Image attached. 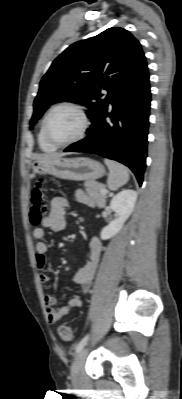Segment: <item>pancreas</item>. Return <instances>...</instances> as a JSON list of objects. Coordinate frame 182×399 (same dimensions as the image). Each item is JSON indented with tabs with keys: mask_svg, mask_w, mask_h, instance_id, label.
Here are the masks:
<instances>
[{
	"mask_svg": "<svg viewBox=\"0 0 182 399\" xmlns=\"http://www.w3.org/2000/svg\"><path fill=\"white\" fill-rule=\"evenodd\" d=\"M87 193L98 201V205L102 207L106 198L104 193L105 185L98 183L94 180H88L84 183Z\"/></svg>",
	"mask_w": 182,
	"mask_h": 399,
	"instance_id": "pancreas-1",
	"label": "pancreas"
}]
</instances>
